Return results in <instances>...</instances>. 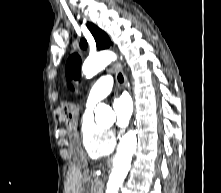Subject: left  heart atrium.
I'll return each mask as SVG.
<instances>
[{"label":"left heart atrium","instance_id":"obj_1","mask_svg":"<svg viewBox=\"0 0 221 193\" xmlns=\"http://www.w3.org/2000/svg\"><path fill=\"white\" fill-rule=\"evenodd\" d=\"M113 110L116 117V124L120 127L126 126L133 112V105L126 94H122L113 100Z\"/></svg>","mask_w":221,"mask_h":193}]
</instances>
